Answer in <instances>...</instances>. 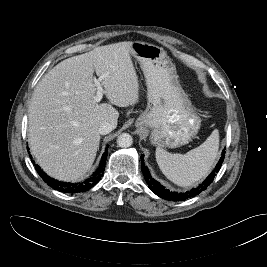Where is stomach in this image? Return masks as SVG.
<instances>
[{"label":"stomach","mask_w":267,"mask_h":267,"mask_svg":"<svg viewBox=\"0 0 267 267\" xmlns=\"http://www.w3.org/2000/svg\"><path fill=\"white\" fill-rule=\"evenodd\" d=\"M130 54L143 71L148 104L135 126L151 130V143L179 147L197 135L201 119L182 89L176 67L166 51L153 44L133 42Z\"/></svg>","instance_id":"obj_1"}]
</instances>
